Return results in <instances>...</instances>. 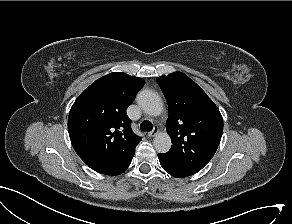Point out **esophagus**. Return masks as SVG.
Instances as JSON below:
<instances>
[{
    "label": "esophagus",
    "mask_w": 292,
    "mask_h": 224,
    "mask_svg": "<svg viewBox=\"0 0 292 224\" xmlns=\"http://www.w3.org/2000/svg\"><path fill=\"white\" fill-rule=\"evenodd\" d=\"M159 133V128L158 127H154V129L150 132H148V136L149 137H154L155 135H157Z\"/></svg>",
    "instance_id": "1"
}]
</instances>
